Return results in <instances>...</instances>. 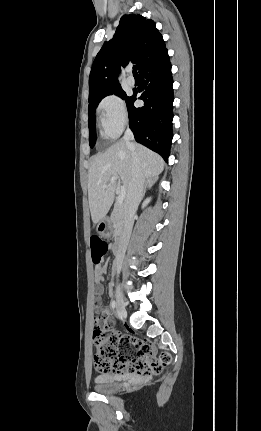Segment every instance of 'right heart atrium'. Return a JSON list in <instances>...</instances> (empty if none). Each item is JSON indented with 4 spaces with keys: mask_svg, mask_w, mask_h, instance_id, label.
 Here are the masks:
<instances>
[{
    "mask_svg": "<svg viewBox=\"0 0 261 431\" xmlns=\"http://www.w3.org/2000/svg\"><path fill=\"white\" fill-rule=\"evenodd\" d=\"M97 116L102 132L108 138L118 137L128 122L125 103L116 94H110L99 102Z\"/></svg>",
    "mask_w": 261,
    "mask_h": 431,
    "instance_id": "obj_1",
    "label": "right heart atrium"
}]
</instances>
